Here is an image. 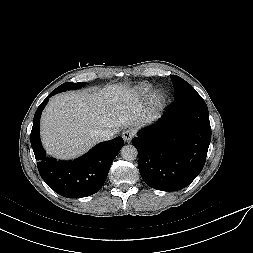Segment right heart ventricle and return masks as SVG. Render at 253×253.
Wrapping results in <instances>:
<instances>
[{
    "label": "right heart ventricle",
    "instance_id": "e07e8e85",
    "mask_svg": "<svg viewBox=\"0 0 253 253\" xmlns=\"http://www.w3.org/2000/svg\"><path fill=\"white\" fill-rule=\"evenodd\" d=\"M151 91L152 87L150 85H143L136 90L135 95L137 98L144 99L151 94Z\"/></svg>",
    "mask_w": 253,
    "mask_h": 253
}]
</instances>
